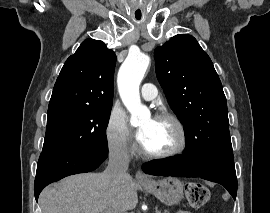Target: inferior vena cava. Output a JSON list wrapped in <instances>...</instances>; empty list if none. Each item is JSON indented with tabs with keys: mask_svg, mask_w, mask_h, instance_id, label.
<instances>
[{
	"mask_svg": "<svg viewBox=\"0 0 270 213\" xmlns=\"http://www.w3.org/2000/svg\"><path fill=\"white\" fill-rule=\"evenodd\" d=\"M130 158L126 144L113 147L109 150L108 167L105 170L106 176L116 182L120 183L126 179Z\"/></svg>",
	"mask_w": 270,
	"mask_h": 213,
	"instance_id": "inferior-vena-cava-1",
	"label": "inferior vena cava"
}]
</instances>
